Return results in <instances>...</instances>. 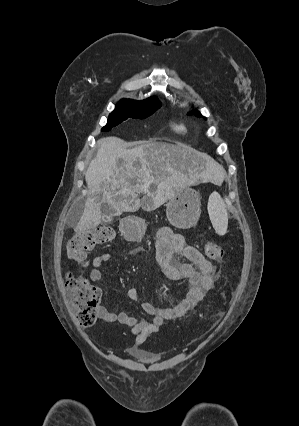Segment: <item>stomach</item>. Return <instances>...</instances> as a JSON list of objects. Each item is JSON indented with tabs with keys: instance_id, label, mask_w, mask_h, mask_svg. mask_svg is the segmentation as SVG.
<instances>
[{
	"instance_id": "stomach-1",
	"label": "stomach",
	"mask_w": 299,
	"mask_h": 426,
	"mask_svg": "<svg viewBox=\"0 0 299 426\" xmlns=\"http://www.w3.org/2000/svg\"><path fill=\"white\" fill-rule=\"evenodd\" d=\"M201 214V199L199 193L189 187L180 188L169 199L166 215L171 225L188 229L195 226ZM145 232V224L137 218L128 219L124 233L129 240H139Z\"/></svg>"
}]
</instances>
